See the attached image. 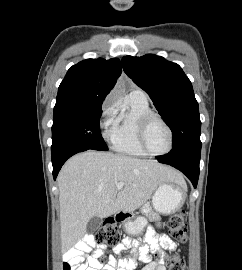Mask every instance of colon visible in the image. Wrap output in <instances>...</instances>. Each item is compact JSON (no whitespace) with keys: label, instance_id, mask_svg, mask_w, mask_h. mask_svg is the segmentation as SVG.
Wrapping results in <instances>:
<instances>
[{"label":"colon","instance_id":"colon-1","mask_svg":"<svg viewBox=\"0 0 242 270\" xmlns=\"http://www.w3.org/2000/svg\"><path fill=\"white\" fill-rule=\"evenodd\" d=\"M185 216L186 212L180 210L174 213L168 222L169 236L179 243H184L187 240ZM91 236L98 245H116L120 241L121 233L115 221L109 219ZM155 256L160 260L166 259L168 270H187L184 260L179 255H165L163 252H158ZM62 269L73 270V267L69 263H64Z\"/></svg>","mask_w":242,"mask_h":270}]
</instances>
